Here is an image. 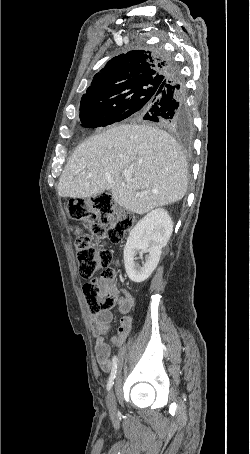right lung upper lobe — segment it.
<instances>
[{
	"instance_id": "cb5924a9",
	"label": "right lung upper lobe",
	"mask_w": 250,
	"mask_h": 454,
	"mask_svg": "<svg viewBox=\"0 0 250 454\" xmlns=\"http://www.w3.org/2000/svg\"><path fill=\"white\" fill-rule=\"evenodd\" d=\"M171 69L165 57L156 51L133 50L112 58L97 73L81 105L99 103L127 96L144 84H161L167 80Z\"/></svg>"
}]
</instances>
